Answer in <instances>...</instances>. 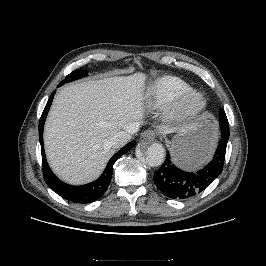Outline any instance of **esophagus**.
<instances>
[{
  "instance_id": "34e87169",
  "label": "esophagus",
  "mask_w": 266,
  "mask_h": 266,
  "mask_svg": "<svg viewBox=\"0 0 266 266\" xmlns=\"http://www.w3.org/2000/svg\"><path fill=\"white\" fill-rule=\"evenodd\" d=\"M156 132L153 130H145L141 133V138L153 140L156 137Z\"/></svg>"
}]
</instances>
